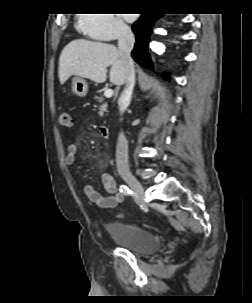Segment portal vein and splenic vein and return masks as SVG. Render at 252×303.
I'll return each instance as SVG.
<instances>
[{"label":"portal vein and splenic vein","mask_w":252,"mask_h":303,"mask_svg":"<svg viewBox=\"0 0 252 303\" xmlns=\"http://www.w3.org/2000/svg\"><path fill=\"white\" fill-rule=\"evenodd\" d=\"M104 96H105L106 98H111V97L113 96V90H112V89H107V90H105Z\"/></svg>","instance_id":"obj_1"}]
</instances>
